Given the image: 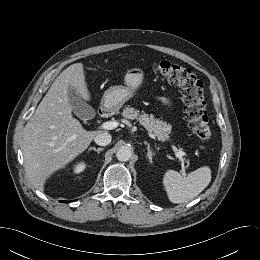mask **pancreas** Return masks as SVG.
<instances>
[{"label": "pancreas", "mask_w": 260, "mask_h": 260, "mask_svg": "<svg viewBox=\"0 0 260 260\" xmlns=\"http://www.w3.org/2000/svg\"><path fill=\"white\" fill-rule=\"evenodd\" d=\"M122 116L125 119L137 120L141 125H143L147 131L153 136L157 137L160 141L168 140L169 134L171 132V125L167 124L154 115H148L142 111V114L133 107L127 106L123 109Z\"/></svg>", "instance_id": "pancreas-1"}]
</instances>
